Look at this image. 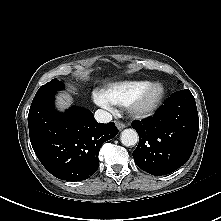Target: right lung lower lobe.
Instances as JSON below:
<instances>
[{
	"instance_id": "obj_1",
	"label": "right lung lower lobe",
	"mask_w": 221,
	"mask_h": 221,
	"mask_svg": "<svg viewBox=\"0 0 221 221\" xmlns=\"http://www.w3.org/2000/svg\"><path fill=\"white\" fill-rule=\"evenodd\" d=\"M55 93L33 99L28 114L31 145L39 161L53 176L67 181L88 179L99 166L102 144L114 138L113 122L98 123L89 110L54 108Z\"/></svg>"
}]
</instances>
